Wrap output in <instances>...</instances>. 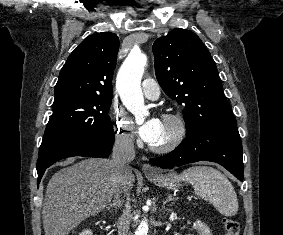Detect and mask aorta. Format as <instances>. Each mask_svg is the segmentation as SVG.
Returning <instances> with one entry per match:
<instances>
[{
	"label": "aorta",
	"instance_id": "1",
	"mask_svg": "<svg viewBox=\"0 0 283 235\" xmlns=\"http://www.w3.org/2000/svg\"><path fill=\"white\" fill-rule=\"evenodd\" d=\"M147 64V56L131 51L119 69L116 87L125 107L135 115L136 121H143L148 114L141 91V78ZM147 220H142L135 230V235L148 234Z\"/></svg>",
	"mask_w": 283,
	"mask_h": 235
}]
</instances>
